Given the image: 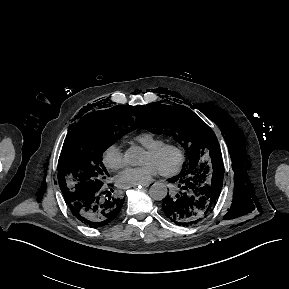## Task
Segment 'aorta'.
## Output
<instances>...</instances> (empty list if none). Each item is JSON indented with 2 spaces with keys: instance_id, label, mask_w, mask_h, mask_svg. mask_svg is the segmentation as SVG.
Returning a JSON list of instances; mask_svg holds the SVG:
<instances>
[{
  "instance_id": "762f6f07",
  "label": "aorta",
  "mask_w": 289,
  "mask_h": 289,
  "mask_svg": "<svg viewBox=\"0 0 289 289\" xmlns=\"http://www.w3.org/2000/svg\"><path fill=\"white\" fill-rule=\"evenodd\" d=\"M144 152L140 147L132 146L125 152V161L131 166H138L142 163ZM167 187L164 183L156 182L149 189L152 199L161 201L167 195Z\"/></svg>"
}]
</instances>
